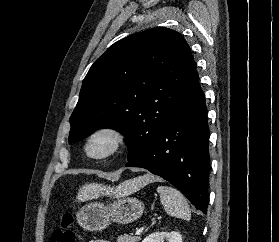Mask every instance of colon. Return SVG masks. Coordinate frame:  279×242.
Here are the masks:
<instances>
[{"mask_svg":"<svg viewBox=\"0 0 279 242\" xmlns=\"http://www.w3.org/2000/svg\"><path fill=\"white\" fill-rule=\"evenodd\" d=\"M73 220L74 218L71 212H64L61 215V225L54 230L49 242H76L75 233L70 228Z\"/></svg>","mask_w":279,"mask_h":242,"instance_id":"colon-1","label":"colon"}]
</instances>
